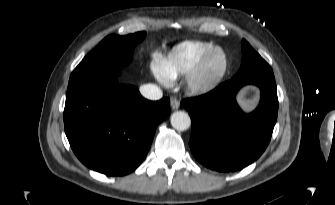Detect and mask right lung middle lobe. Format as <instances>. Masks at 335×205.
Segmentation results:
<instances>
[{
    "label": "right lung middle lobe",
    "instance_id": "right-lung-middle-lobe-1",
    "mask_svg": "<svg viewBox=\"0 0 335 205\" xmlns=\"http://www.w3.org/2000/svg\"><path fill=\"white\" fill-rule=\"evenodd\" d=\"M146 32L126 36L109 35L87 54L72 72L68 86L101 73L118 74L132 57L134 47L142 42Z\"/></svg>",
    "mask_w": 335,
    "mask_h": 205
}]
</instances>
